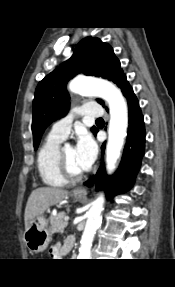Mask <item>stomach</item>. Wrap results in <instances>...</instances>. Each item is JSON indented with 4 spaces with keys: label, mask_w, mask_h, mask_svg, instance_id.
I'll return each mask as SVG.
<instances>
[{
    "label": "stomach",
    "mask_w": 175,
    "mask_h": 287,
    "mask_svg": "<svg viewBox=\"0 0 175 287\" xmlns=\"http://www.w3.org/2000/svg\"><path fill=\"white\" fill-rule=\"evenodd\" d=\"M75 200H81V196L74 195ZM24 242L32 253L43 252L52 240V232L47 220L43 217L33 218L25 229Z\"/></svg>",
    "instance_id": "1"
}]
</instances>
